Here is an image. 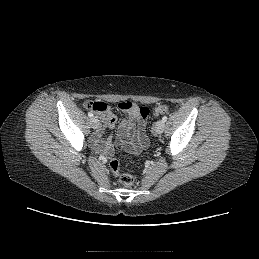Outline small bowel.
<instances>
[{"mask_svg":"<svg viewBox=\"0 0 259 259\" xmlns=\"http://www.w3.org/2000/svg\"><path fill=\"white\" fill-rule=\"evenodd\" d=\"M129 108H120L125 118L118 127V140L120 143L127 146V148L134 153L140 152L148 143L146 135V118L140 113V108L129 102ZM100 117L101 121L110 129L114 128L117 123V117L112 106L105 105V109L101 111L94 110ZM102 130L99 129L93 136V144L95 147L103 152L110 153L112 140L108 138L101 140Z\"/></svg>","mask_w":259,"mask_h":259,"instance_id":"1","label":"small bowel"}]
</instances>
